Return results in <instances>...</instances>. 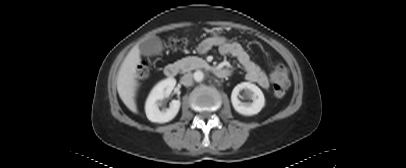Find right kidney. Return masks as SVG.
<instances>
[{"label":"right kidney","instance_id":"ca27d5eb","mask_svg":"<svg viewBox=\"0 0 406 168\" xmlns=\"http://www.w3.org/2000/svg\"><path fill=\"white\" fill-rule=\"evenodd\" d=\"M176 85V80L173 78L165 79L159 82L149 94L146 105L145 112L147 118L151 122L156 123H166L171 121L177 115L181 102L179 100H172L170 107L159 109L160 102L165 97H168Z\"/></svg>","mask_w":406,"mask_h":168}]
</instances>
